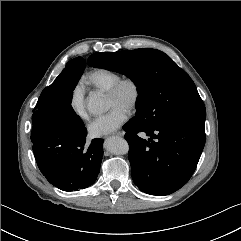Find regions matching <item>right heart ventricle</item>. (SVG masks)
Segmentation results:
<instances>
[{
    "label": "right heart ventricle",
    "instance_id": "right-heart-ventricle-1",
    "mask_svg": "<svg viewBox=\"0 0 241 241\" xmlns=\"http://www.w3.org/2000/svg\"><path fill=\"white\" fill-rule=\"evenodd\" d=\"M120 77L121 75L114 70L94 68L86 74L85 80L94 88L107 91Z\"/></svg>",
    "mask_w": 241,
    "mask_h": 241
}]
</instances>
